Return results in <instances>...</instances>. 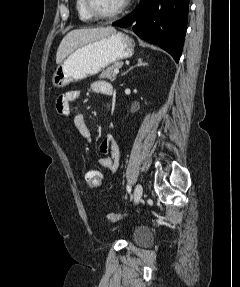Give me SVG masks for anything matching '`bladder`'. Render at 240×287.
<instances>
[{
  "label": "bladder",
  "mask_w": 240,
  "mask_h": 287,
  "mask_svg": "<svg viewBox=\"0 0 240 287\" xmlns=\"http://www.w3.org/2000/svg\"><path fill=\"white\" fill-rule=\"evenodd\" d=\"M152 240L150 230L145 227L138 226L133 231V241L136 244H149Z\"/></svg>",
  "instance_id": "obj_1"
}]
</instances>
